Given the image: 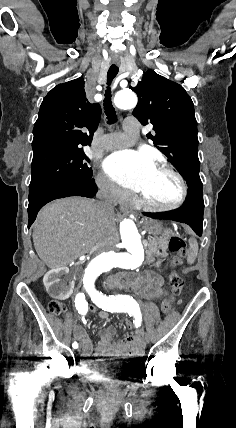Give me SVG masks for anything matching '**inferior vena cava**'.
Instances as JSON below:
<instances>
[{
    "instance_id": "602c4592",
    "label": "inferior vena cava",
    "mask_w": 236,
    "mask_h": 428,
    "mask_svg": "<svg viewBox=\"0 0 236 428\" xmlns=\"http://www.w3.org/2000/svg\"><path fill=\"white\" fill-rule=\"evenodd\" d=\"M97 186L99 188V192L96 194V198H99L101 202H98V208L101 210V212H108V214H114L113 210V202H114V192L116 190V186L112 184V182H109L107 178H102V180H98ZM101 236L95 235L94 241L92 243L93 246V257H95L97 254H100L102 250L106 249H99L101 248Z\"/></svg>"
}]
</instances>
